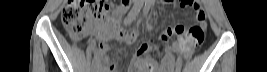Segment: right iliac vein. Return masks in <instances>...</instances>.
Returning <instances> with one entry per match:
<instances>
[{"instance_id":"63e3f726","label":"right iliac vein","mask_w":267,"mask_h":72,"mask_svg":"<svg viewBox=\"0 0 267 72\" xmlns=\"http://www.w3.org/2000/svg\"><path fill=\"white\" fill-rule=\"evenodd\" d=\"M98 69H99V64L98 62H96L95 64H93L92 72H98Z\"/></svg>"}]
</instances>
